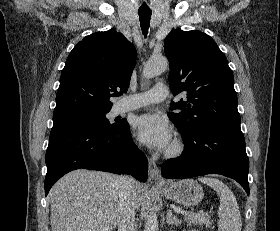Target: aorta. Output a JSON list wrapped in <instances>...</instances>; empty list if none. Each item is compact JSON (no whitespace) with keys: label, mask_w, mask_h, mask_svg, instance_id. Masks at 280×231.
<instances>
[{"label":"aorta","mask_w":280,"mask_h":231,"mask_svg":"<svg viewBox=\"0 0 280 231\" xmlns=\"http://www.w3.org/2000/svg\"><path fill=\"white\" fill-rule=\"evenodd\" d=\"M169 64L166 58H160V60H148L143 68L144 78H155L160 76L165 70H167ZM144 231H158V217L154 209H148L145 215Z\"/></svg>","instance_id":"obj_1"}]
</instances>
